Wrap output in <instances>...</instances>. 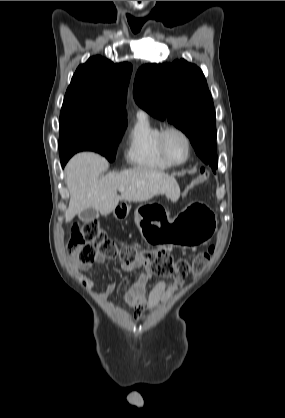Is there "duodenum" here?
<instances>
[{"mask_svg": "<svg viewBox=\"0 0 285 418\" xmlns=\"http://www.w3.org/2000/svg\"><path fill=\"white\" fill-rule=\"evenodd\" d=\"M114 213L116 214L118 220L122 219V216L117 213V209H114Z\"/></svg>", "mask_w": 285, "mask_h": 418, "instance_id": "duodenum-1", "label": "duodenum"}]
</instances>
